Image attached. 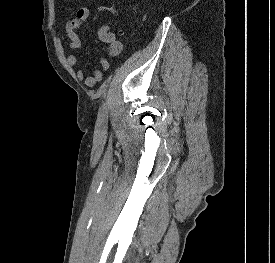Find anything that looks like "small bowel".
Masks as SVG:
<instances>
[{"label": "small bowel", "mask_w": 275, "mask_h": 263, "mask_svg": "<svg viewBox=\"0 0 275 263\" xmlns=\"http://www.w3.org/2000/svg\"><path fill=\"white\" fill-rule=\"evenodd\" d=\"M90 15L91 9L89 7H81L67 21L65 29L69 40V48L71 50H77L81 47L78 31L80 30L83 22L89 19ZM98 37L100 41L107 45L110 56L118 57L122 53L123 45L121 41L109 29H101L98 33ZM67 62L70 67H75L77 65V56L75 54H70L67 57ZM99 64L100 68L96 69L93 74L89 76H85L83 70L78 68L76 70L78 80L84 82L88 87L95 86L97 82H100L103 79L105 72L110 67L109 62L105 57L100 58Z\"/></svg>", "instance_id": "1"}]
</instances>
